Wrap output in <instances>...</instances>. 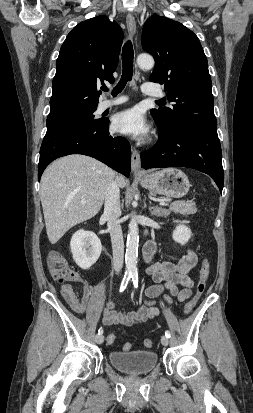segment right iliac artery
I'll return each instance as SVG.
<instances>
[{
    "instance_id": "82829eb1",
    "label": "right iliac artery",
    "mask_w": 253,
    "mask_h": 413,
    "mask_svg": "<svg viewBox=\"0 0 253 413\" xmlns=\"http://www.w3.org/2000/svg\"><path fill=\"white\" fill-rule=\"evenodd\" d=\"M130 277H131V274L125 273L124 278H123L122 283H121V286H120V289H119L120 292H123L126 289L127 284L130 280ZM102 333H103V329L100 328L98 330V334H102Z\"/></svg>"
}]
</instances>
